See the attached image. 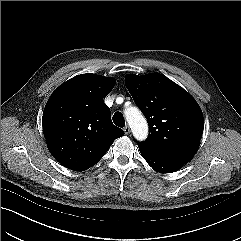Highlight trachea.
Returning a JSON list of instances; mask_svg holds the SVG:
<instances>
[{"label":"trachea","instance_id":"trachea-1","mask_svg":"<svg viewBox=\"0 0 241 241\" xmlns=\"http://www.w3.org/2000/svg\"><path fill=\"white\" fill-rule=\"evenodd\" d=\"M113 122L116 126L123 128L125 126V120L122 113L116 112L113 115Z\"/></svg>","mask_w":241,"mask_h":241}]
</instances>
